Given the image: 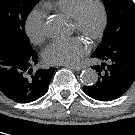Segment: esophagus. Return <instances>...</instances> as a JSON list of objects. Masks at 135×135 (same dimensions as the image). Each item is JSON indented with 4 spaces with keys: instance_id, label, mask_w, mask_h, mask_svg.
Listing matches in <instances>:
<instances>
[{
    "instance_id": "34e87169",
    "label": "esophagus",
    "mask_w": 135,
    "mask_h": 135,
    "mask_svg": "<svg viewBox=\"0 0 135 135\" xmlns=\"http://www.w3.org/2000/svg\"><path fill=\"white\" fill-rule=\"evenodd\" d=\"M66 68L75 70V71H80L83 69V66H71V65H64Z\"/></svg>"
}]
</instances>
